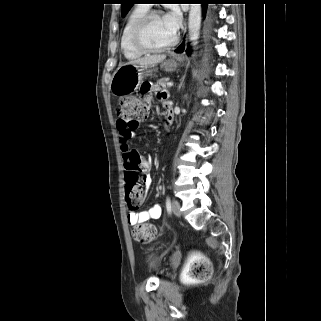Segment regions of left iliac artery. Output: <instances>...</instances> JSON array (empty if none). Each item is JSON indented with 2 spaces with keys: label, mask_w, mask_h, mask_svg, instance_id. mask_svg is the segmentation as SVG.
I'll return each mask as SVG.
<instances>
[{
  "label": "left iliac artery",
  "mask_w": 321,
  "mask_h": 321,
  "mask_svg": "<svg viewBox=\"0 0 321 321\" xmlns=\"http://www.w3.org/2000/svg\"><path fill=\"white\" fill-rule=\"evenodd\" d=\"M166 208H167V212L170 214L171 213V201H170L169 197H167V199H166Z\"/></svg>",
  "instance_id": "44dca946"
}]
</instances>
